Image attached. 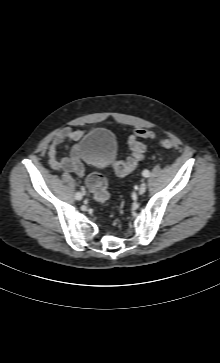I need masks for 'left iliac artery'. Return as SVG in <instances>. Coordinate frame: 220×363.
<instances>
[{"mask_svg":"<svg viewBox=\"0 0 220 363\" xmlns=\"http://www.w3.org/2000/svg\"><path fill=\"white\" fill-rule=\"evenodd\" d=\"M142 175H143L144 177H149L150 172H149L148 170H144V171L142 172Z\"/></svg>","mask_w":220,"mask_h":363,"instance_id":"obj_1","label":"left iliac artery"}]
</instances>
